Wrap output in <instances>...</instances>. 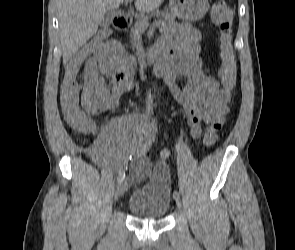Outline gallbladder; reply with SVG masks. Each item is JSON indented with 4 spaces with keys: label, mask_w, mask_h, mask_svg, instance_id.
<instances>
[{
    "label": "gallbladder",
    "mask_w": 295,
    "mask_h": 250,
    "mask_svg": "<svg viewBox=\"0 0 295 250\" xmlns=\"http://www.w3.org/2000/svg\"><path fill=\"white\" fill-rule=\"evenodd\" d=\"M112 17H113V13L112 12H108L104 16V18L100 21V25L103 26V27L109 26L110 23H111Z\"/></svg>",
    "instance_id": "1"
}]
</instances>
